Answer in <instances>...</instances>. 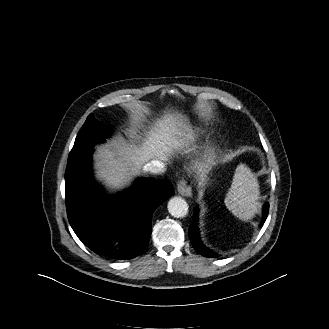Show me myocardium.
I'll list each match as a JSON object with an SVG mask.
<instances>
[{"mask_svg": "<svg viewBox=\"0 0 329 329\" xmlns=\"http://www.w3.org/2000/svg\"><path fill=\"white\" fill-rule=\"evenodd\" d=\"M215 158H216V155H215L214 150L207 149L200 155V157L197 161V167L200 169L209 168L214 164Z\"/></svg>", "mask_w": 329, "mask_h": 329, "instance_id": "f54148a6", "label": "myocardium"}]
</instances>
